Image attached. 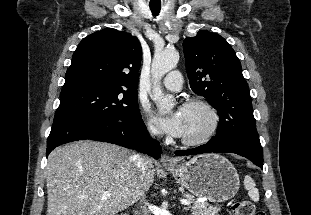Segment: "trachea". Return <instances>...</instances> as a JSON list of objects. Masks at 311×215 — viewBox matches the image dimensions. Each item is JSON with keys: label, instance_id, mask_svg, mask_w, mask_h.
<instances>
[{"label": "trachea", "instance_id": "trachea-1", "mask_svg": "<svg viewBox=\"0 0 311 215\" xmlns=\"http://www.w3.org/2000/svg\"><path fill=\"white\" fill-rule=\"evenodd\" d=\"M153 16H157L161 10V6H150Z\"/></svg>", "mask_w": 311, "mask_h": 215}]
</instances>
